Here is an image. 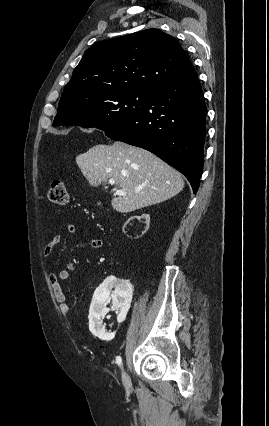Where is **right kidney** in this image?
Returning <instances> with one entry per match:
<instances>
[{"label": "right kidney", "instance_id": "ca27d5eb", "mask_svg": "<svg viewBox=\"0 0 269 426\" xmlns=\"http://www.w3.org/2000/svg\"><path fill=\"white\" fill-rule=\"evenodd\" d=\"M130 221L143 222L140 225L142 229L138 233V238H143V233H148L150 219L148 214L140 216H130L129 220L124 223L123 232ZM114 288V291L112 289ZM112 298L113 308L119 309L118 322L125 319L127 311L132 299V286L129 281L117 279L115 277L107 278L95 291L89 313V330L99 339L110 340L114 334H107L105 326L102 324L101 319L108 313L109 309L106 307V302Z\"/></svg>", "mask_w": 269, "mask_h": 426}]
</instances>
